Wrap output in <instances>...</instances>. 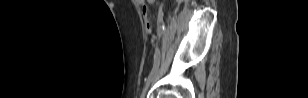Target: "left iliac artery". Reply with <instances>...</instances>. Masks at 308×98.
<instances>
[{"label": "left iliac artery", "mask_w": 308, "mask_h": 98, "mask_svg": "<svg viewBox=\"0 0 308 98\" xmlns=\"http://www.w3.org/2000/svg\"><path fill=\"white\" fill-rule=\"evenodd\" d=\"M156 29L158 30V35H159V36H164V35L167 34V25H166V24H158V25L156 26ZM159 36H158V37H159ZM160 56H161V49L158 47V48L156 49V53H155V62H154V66H153V69H152L150 75L148 76L147 82H148V80L150 79V77H151L152 75H154V74L157 72L158 66H159V61H160Z\"/></svg>", "instance_id": "44dca946"}]
</instances>
